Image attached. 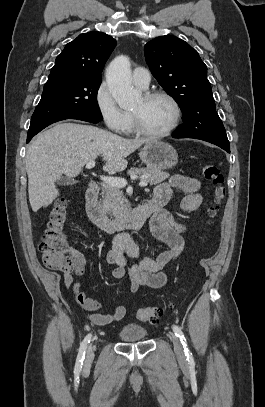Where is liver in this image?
<instances>
[{"instance_id": "liver-1", "label": "liver", "mask_w": 265, "mask_h": 407, "mask_svg": "<svg viewBox=\"0 0 265 407\" xmlns=\"http://www.w3.org/2000/svg\"><path fill=\"white\" fill-rule=\"evenodd\" d=\"M147 139H126L92 125L59 123L38 134L28 147L25 165L29 201L34 212L49 206L59 195L55 186L63 174L76 177L99 155L104 171H122L130 154Z\"/></svg>"}]
</instances>
